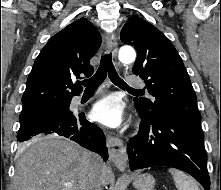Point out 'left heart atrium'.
I'll list each match as a JSON object with an SVG mask.
<instances>
[{
    "instance_id": "39dd6f15",
    "label": "left heart atrium",
    "mask_w": 221,
    "mask_h": 190,
    "mask_svg": "<svg viewBox=\"0 0 221 190\" xmlns=\"http://www.w3.org/2000/svg\"><path fill=\"white\" fill-rule=\"evenodd\" d=\"M92 117L105 126H118L122 121L120 101L112 96L98 101L92 109Z\"/></svg>"
}]
</instances>
